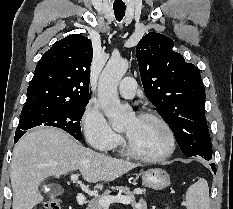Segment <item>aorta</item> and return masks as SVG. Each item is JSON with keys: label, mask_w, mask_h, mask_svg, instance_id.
<instances>
[{"label": "aorta", "mask_w": 233, "mask_h": 209, "mask_svg": "<svg viewBox=\"0 0 233 209\" xmlns=\"http://www.w3.org/2000/svg\"><path fill=\"white\" fill-rule=\"evenodd\" d=\"M128 61L112 58L103 69L98 82V99L114 130H122L132 117V110L121 104L118 84L128 69Z\"/></svg>", "instance_id": "1"}]
</instances>
